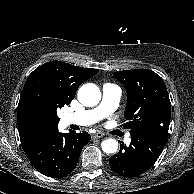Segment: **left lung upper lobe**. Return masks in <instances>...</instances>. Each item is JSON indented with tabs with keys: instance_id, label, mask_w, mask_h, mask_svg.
<instances>
[{
	"instance_id": "obj_1",
	"label": "left lung upper lobe",
	"mask_w": 194,
	"mask_h": 194,
	"mask_svg": "<svg viewBox=\"0 0 194 194\" xmlns=\"http://www.w3.org/2000/svg\"><path fill=\"white\" fill-rule=\"evenodd\" d=\"M113 77L127 91L123 127L131 131L144 129L168 133L171 104L163 79L148 69L119 71Z\"/></svg>"
}]
</instances>
